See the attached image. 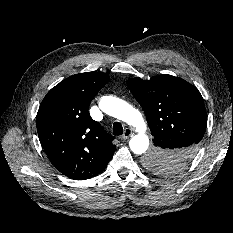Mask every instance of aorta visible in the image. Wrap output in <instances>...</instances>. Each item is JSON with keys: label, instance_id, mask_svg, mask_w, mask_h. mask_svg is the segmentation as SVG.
Masks as SVG:
<instances>
[{"label": "aorta", "instance_id": "1", "mask_svg": "<svg viewBox=\"0 0 233 233\" xmlns=\"http://www.w3.org/2000/svg\"><path fill=\"white\" fill-rule=\"evenodd\" d=\"M99 107L104 113L136 129L138 133L130 139L129 146L133 153L144 154L149 146V138L145 134L147 126L142 114L127 102L113 96L102 97Z\"/></svg>", "mask_w": 233, "mask_h": 233}]
</instances>
